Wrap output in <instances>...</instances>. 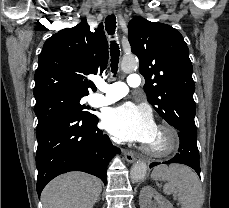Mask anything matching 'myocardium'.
Listing matches in <instances>:
<instances>
[{
	"mask_svg": "<svg viewBox=\"0 0 229 208\" xmlns=\"http://www.w3.org/2000/svg\"><path fill=\"white\" fill-rule=\"evenodd\" d=\"M156 129L166 131L167 138L164 139V142L166 143V147L169 148L163 151H155L144 145L143 149L145 153L156 159L166 158L176 153L181 145V138L178 131L173 126L166 123L157 125Z\"/></svg>",
	"mask_w": 229,
	"mask_h": 208,
	"instance_id": "f54148a6",
	"label": "myocardium"
}]
</instances>
